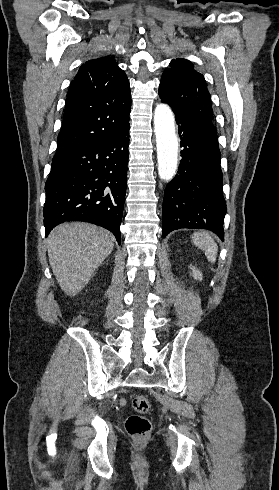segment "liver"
Wrapping results in <instances>:
<instances>
[{"label":"liver","instance_id":"obj_1","mask_svg":"<svg viewBox=\"0 0 279 490\" xmlns=\"http://www.w3.org/2000/svg\"><path fill=\"white\" fill-rule=\"evenodd\" d=\"M114 236L92 224H60L47 240L52 272L66 296H76L114 248Z\"/></svg>","mask_w":279,"mask_h":490}]
</instances>
